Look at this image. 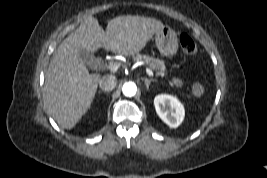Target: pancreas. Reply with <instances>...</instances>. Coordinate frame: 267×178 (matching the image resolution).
<instances>
[{"mask_svg": "<svg viewBox=\"0 0 267 178\" xmlns=\"http://www.w3.org/2000/svg\"><path fill=\"white\" fill-rule=\"evenodd\" d=\"M133 59L134 61L146 62L149 65L150 69L156 72L157 76L165 77L167 75L164 62L158 58L137 53L133 55ZM170 85H172V83H170Z\"/></svg>", "mask_w": 267, "mask_h": 178, "instance_id": "cf45deb5", "label": "pancreas"}]
</instances>
